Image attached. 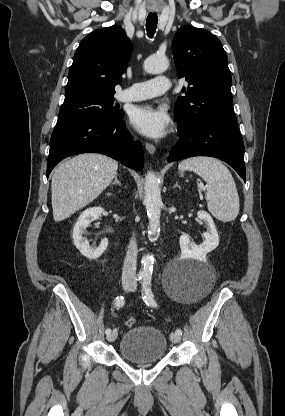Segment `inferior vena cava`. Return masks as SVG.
Segmentation results:
<instances>
[{
  "instance_id": "602c4592",
  "label": "inferior vena cava",
  "mask_w": 285,
  "mask_h": 416,
  "mask_svg": "<svg viewBox=\"0 0 285 416\" xmlns=\"http://www.w3.org/2000/svg\"><path fill=\"white\" fill-rule=\"evenodd\" d=\"M137 246L135 240H131L128 246V252L124 260L123 274L126 276H135L136 274V264H137Z\"/></svg>"
}]
</instances>
